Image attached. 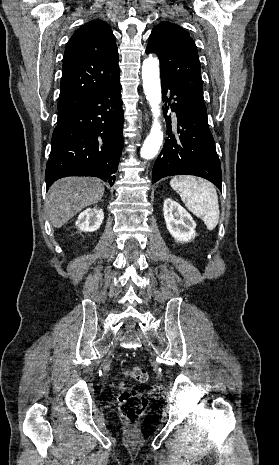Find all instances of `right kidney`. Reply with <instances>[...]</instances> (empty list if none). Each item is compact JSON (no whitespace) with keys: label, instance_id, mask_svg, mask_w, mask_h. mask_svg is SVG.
Returning <instances> with one entry per match:
<instances>
[{"label":"right kidney","instance_id":"right-kidney-1","mask_svg":"<svg viewBox=\"0 0 279 465\" xmlns=\"http://www.w3.org/2000/svg\"><path fill=\"white\" fill-rule=\"evenodd\" d=\"M103 219L104 213L102 209L97 207L88 208L79 214L76 226L80 231L93 232L100 228Z\"/></svg>","mask_w":279,"mask_h":465}]
</instances>
